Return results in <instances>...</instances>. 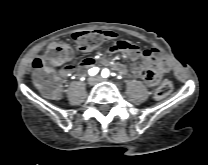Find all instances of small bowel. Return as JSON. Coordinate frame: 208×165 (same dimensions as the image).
Returning <instances> with one entry per match:
<instances>
[{"mask_svg": "<svg viewBox=\"0 0 208 165\" xmlns=\"http://www.w3.org/2000/svg\"><path fill=\"white\" fill-rule=\"evenodd\" d=\"M101 34L105 40H115L117 38V33L113 30H103L101 31ZM109 52L124 53L131 60H137L141 58L142 62L132 66L130 69H128L124 64L118 62H109V64L121 74L130 72L134 76L141 78L149 86L157 85L161 74L168 71L170 68L169 60L158 56L157 50H141L137 44L127 40L115 41L111 45ZM96 63L97 60L94 57H87L82 58L79 64L82 69L87 70L94 68ZM76 68L77 66L74 61H67L60 67L61 74L62 76L67 77L69 74L74 73Z\"/></svg>", "mask_w": 208, "mask_h": 165, "instance_id": "obj_1", "label": "small bowel"}]
</instances>
